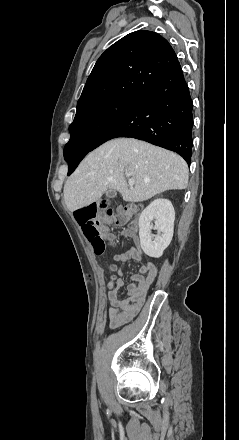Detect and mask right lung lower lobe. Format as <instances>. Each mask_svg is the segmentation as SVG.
<instances>
[{
    "mask_svg": "<svg viewBox=\"0 0 239 440\" xmlns=\"http://www.w3.org/2000/svg\"><path fill=\"white\" fill-rule=\"evenodd\" d=\"M193 105L188 85L178 63L166 76L127 107L123 115L107 128L84 152L64 151L71 174L85 155L117 137H131L172 150L188 165L192 155Z\"/></svg>",
    "mask_w": 239,
    "mask_h": 440,
    "instance_id": "obj_1",
    "label": "right lung lower lobe"
}]
</instances>
